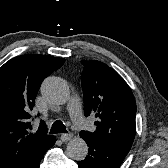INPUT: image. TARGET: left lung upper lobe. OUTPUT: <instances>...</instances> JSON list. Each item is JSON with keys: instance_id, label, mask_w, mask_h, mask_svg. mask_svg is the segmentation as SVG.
I'll return each mask as SVG.
<instances>
[{"instance_id": "1", "label": "left lung upper lobe", "mask_w": 168, "mask_h": 168, "mask_svg": "<svg viewBox=\"0 0 168 168\" xmlns=\"http://www.w3.org/2000/svg\"><path fill=\"white\" fill-rule=\"evenodd\" d=\"M84 115L95 114L94 132L81 131L128 154L135 137L136 102L124 79L107 64L82 60Z\"/></svg>"}]
</instances>
